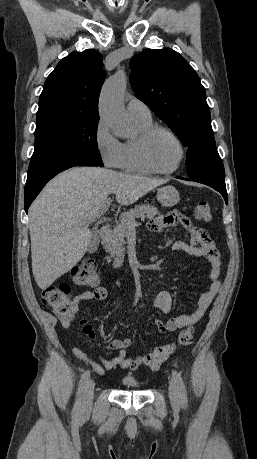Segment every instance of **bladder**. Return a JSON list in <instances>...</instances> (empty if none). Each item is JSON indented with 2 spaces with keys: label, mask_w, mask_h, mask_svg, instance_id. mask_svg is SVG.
<instances>
[{
  "label": "bladder",
  "mask_w": 257,
  "mask_h": 459,
  "mask_svg": "<svg viewBox=\"0 0 257 459\" xmlns=\"http://www.w3.org/2000/svg\"><path fill=\"white\" fill-rule=\"evenodd\" d=\"M121 384L126 389L135 390L140 387V383L132 376H125L121 379Z\"/></svg>",
  "instance_id": "obj_1"
}]
</instances>
